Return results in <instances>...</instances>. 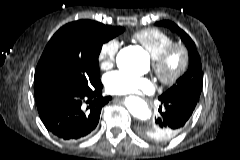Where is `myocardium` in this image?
<instances>
[{
    "instance_id": "obj_1",
    "label": "myocardium",
    "mask_w": 240,
    "mask_h": 160,
    "mask_svg": "<svg viewBox=\"0 0 240 160\" xmlns=\"http://www.w3.org/2000/svg\"><path fill=\"white\" fill-rule=\"evenodd\" d=\"M177 57L178 63L170 68V61ZM189 66L187 49L178 43H171L158 56L153 58V69L159 81L165 86L177 84L186 73Z\"/></svg>"
}]
</instances>
